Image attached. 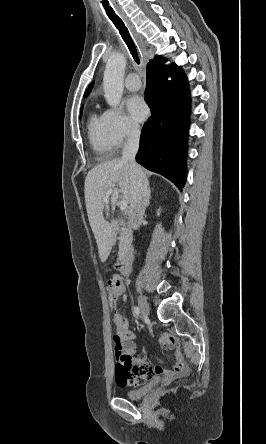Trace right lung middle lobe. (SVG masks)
<instances>
[{"mask_svg": "<svg viewBox=\"0 0 266 444\" xmlns=\"http://www.w3.org/2000/svg\"><path fill=\"white\" fill-rule=\"evenodd\" d=\"M82 108H83V107H81V110H80V112H82Z\"/></svg>", "mask_w": 266, "mask_h": 444, "instance_id": "dd1d6c3e", "label": "right lung middle lobe"}]
</instances>
